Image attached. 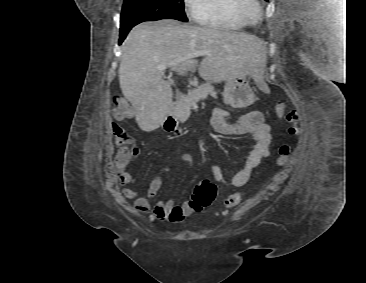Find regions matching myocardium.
I'll list each match as a JSON object with an SVG mask.
<instances>
[{"label":"myocardium","mask_w":366,"mask_h":283,"mask_svg":"<svg viewBox=\"0 0 366 283\" xmlns=\"http://www.w3.org/2000/svg\"><path fill=\"white\" fill-rule=\"evenodd\" d=\"M237 11L246 24H254L260 18L261 5L258 0H239Z\"/></svg>","instance_id":"obj_1"}]
</instances>
